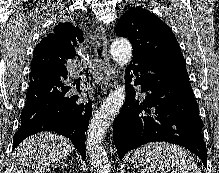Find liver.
Returning <instances> with one entry per match:
<instances>
[{
	"label": "liver",
	"mask_w": 219,
	"mask_h": 173,
	"mask_svg": "<svg viewBox=\"0 0 219 173\" xmlns=\"http://www.w3.org/2000/svg\"><path fill=\"white\" fill-rule=\"evenodd\" d=\"M74 150L71 141L51 132L25 139L13 152L9 173H47Z\"/></svg>",
	"instance_id": "obj_1"
}]
</instances>
